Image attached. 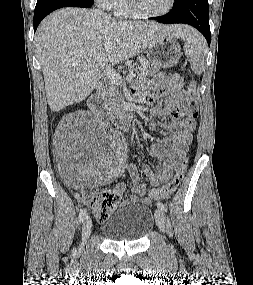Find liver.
<instances>
[{
	"instance_id": "1",
	"label": "liver",
	"mask_w": 253,
	"mask_h": 285,
	"mask_svg": "<svg viewBox=\"0 0 253 285\" xmlns=\"http://www.w3.org/2000/svg\"><path fill=\"white\" fill-rule=\"evenodd\" d=\"M191 28L154 22L117 21L100 9L67 7L48 15L35 42L53 112L83 101L101 72L95 57L116 64L135 57L161 36L183 38Z\"/></svg>"
}]
</instances>
